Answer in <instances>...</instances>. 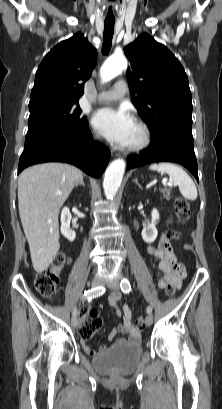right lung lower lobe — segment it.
<instances>
[{
    "label": "right lung lower lobe",
    "instance_id": "right-lung-lower-lobe-1",
    "mask_svg": "<svg viewBox=\"0 0 222 409\" xmlns=\"http://www.w3.org/2000/svg\"><path fill=\"white\" fill-rule=\"evenodd\" d=\"M110 158L108 148L93 142L89 128L72 143L41 139L26 147L21 154L18 173L24 168L43 162L59 161L76 165L87 174L99 178Z\"/></svg>",
    "mask_w": 222,
    "mask_h": 409
}]
</instances>
